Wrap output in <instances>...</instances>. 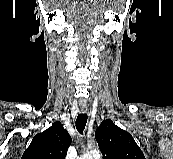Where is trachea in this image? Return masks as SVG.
Listing matches in <instances>:
<instances>
[{
    "label": "trachea",
    "instance_id": "1",
    "mask_svg": "<svg viewBox=\"0 0 173 159\" xmlns=\"http://www.w3.org/2000/svg\"><path fill=\"white\" fill-rule=\"evenodd\" d=\"M86 123H87V114L86 113L78 114L76 119V128L80 134H83Z\"/></svg>",
    "mask_w": 173,
    "mask_h": 159
}]
</instances>
